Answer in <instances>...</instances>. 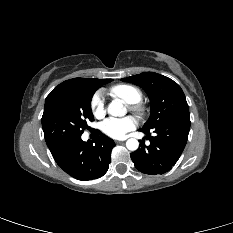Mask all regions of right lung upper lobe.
I'll list each match as a JSON object with an SVG mask.
<instances>
[{"label": "right lung upper lobe", "instance_id": "cb5924a9", "mask_svg": "<svg viewBox=\"0 0 233 233\" xmlns=\"http://www.w3.org/2000/svg\"><path fill=\"white\" fill-rule=\"evenodd\" d=\"M109 79H90V78H74L66 80L59 84L46 98L45 104L49 102L55 95L73 90L75 88L88 86V85H103Z\"/></svg>", "mask_w": 233, "mask_h": 233}]
</instances>
